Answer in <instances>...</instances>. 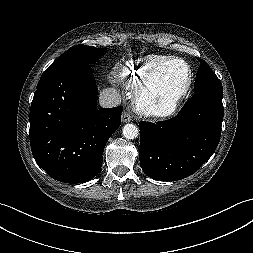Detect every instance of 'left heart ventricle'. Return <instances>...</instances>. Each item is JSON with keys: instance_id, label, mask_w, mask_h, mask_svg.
Masks as SVG:
<instances>
[{"instance_id": "obj_1", "label": "left heart ventricle", "mask_w": 253, "mask_h": 253, "mask_svg": "<svg viewBox=\"0 0 253 253\" xmlns=\"http://www.w3.org/2000/svg\"><path fill=\"white\" fill-rule=\"evenodd\" d=\"M188 71L184 64L172 62L164 66L151 84L149 97L159 107L165 108L168 98L178 93L186 84Z\"/></svg>"}]
</instances>
